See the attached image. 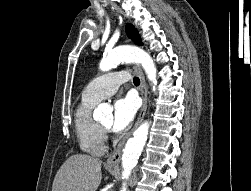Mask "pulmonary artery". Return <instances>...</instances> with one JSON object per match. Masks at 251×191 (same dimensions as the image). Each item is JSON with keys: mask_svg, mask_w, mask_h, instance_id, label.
<instances>
[{"mask_svg": "<svg viewBox=\"0 0 251 191\" xmlns=\"http://www.w3.org/2000/svg\"><path fill=\"white\" fill-rule=\"evenodd\" d=\"M129 80V75L124 71L111 72L92 80L82 96L91 100H102L116 93L119 86Z\"/></svg>", "mask_w": 251, "mask_h": 191, "instance_id": "pulmonary-artery-1", "label": "pulmonary artery"}]
</instances>
